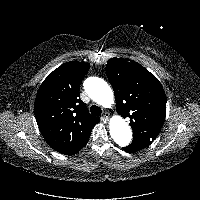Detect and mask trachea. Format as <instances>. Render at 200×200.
<instances>
[{
    "label": "trachea",
    "instance_id": "obj_1",
    "mask_svg": "<svg viewBox=\"0 0 200 200\" xmlns=\"http://www.w3.org/2000/svg\"><path fill=\"white\" fill-rule=\"evenodd\" d=\"M90 112L91 114L95 115V116H100L102 113V110L100 107L96 106V105H92L90 107Z\"/></svg>",
    "mask_w": 200,
    "mask_h": 200
}]
</instances>
